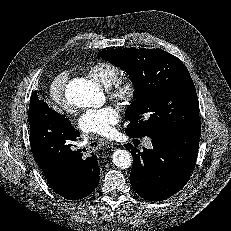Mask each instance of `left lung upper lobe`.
<instances>
[{
	"label": "left lung upper lobe",
	"instance_id": "5c2ea615",
	"mask_svg": "<svg viewBox=\"0 0 231 231\" xmlns=\"http://www.w3.org/2000/svg\"><path fill=\"white\" fill-rule=\"evenodd\" d=\"M99 54L127 71L135 85L125 132L175 136L201 129L199 102L192 78L177 57L159 49H110Z\"/></svg>",
	"mask_w": 231,
	"mask_h": 231
}]
</instances>
